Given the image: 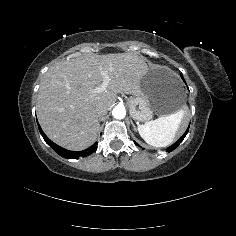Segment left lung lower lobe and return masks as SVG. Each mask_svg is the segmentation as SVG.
Segmentation results:
<instances>
[{"label": "left lung lower lobe", "instance_id": "0a47b994", "mask_svg": "<svg viewBox=\"0 0 236 236\" xmlns=\"http://www.w3.org/2000/svg\"><path fill=\"white\" fill-rule=\"evenodd\" d=\"M181 78H182L183 81L185 82V80H184V78H183L182 75H181ZM185 83H186V82H185ZM188 130H189V127H188V129L186 130V132L182 135V137H180V139H179L177 142H175L173 145H171L170 147H168L167 152H171V151H173L174 149H176V148L179 146V144L183 141V139H184L185 136L187 135ZM134 143H135V145L139 146L136 142H134Z\"/></svg>", "mask_w": 236, "mask_h": 236}]
</instances>
